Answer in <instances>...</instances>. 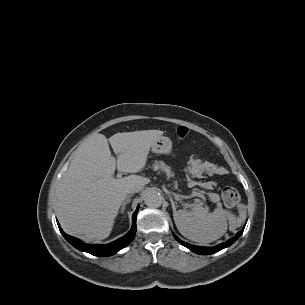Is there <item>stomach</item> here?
Masks as SVG:
<instances>
[{
  "mask_svg": "<svg viewBox=\"0 0 305 305\" xmlns=\"http://www.w3.org/2000/svg\"><path fill=\"white\" fill-rule=\"evenodd\" d=\"M151 150L154 153L169 155L172 152V141L170 138L161 136L152 146Z\"/></svg>",
  "mask_w": 305,
  "mask_h": 305,
  "instance_id": "1",
  "label": "stomach"
}]
</instances>
